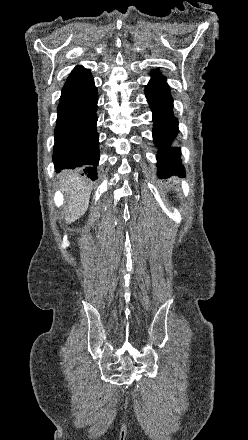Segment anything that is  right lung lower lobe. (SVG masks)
Returning a JSON list of instances; mask_svg holds the SVG:
<instances>
[{"instance_id":"right-lung-lower-lobe-1","label":"right lung lower lobe","mask_w":248,"mask_h":440,"mask_svg":"<svg viewBox=\"0 0 248 440\" xmlns=\"http://www.w3.org/2000/svg\"><path fill=\"white\" fill-rule=\"evenodd\" d=\"M97 88L93 79L86 84L62 90L55 129L53 162L57 172L80 168L92 180L97 178L99 137Z\"/></svg>"}]
</instances>
